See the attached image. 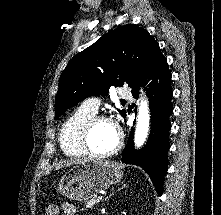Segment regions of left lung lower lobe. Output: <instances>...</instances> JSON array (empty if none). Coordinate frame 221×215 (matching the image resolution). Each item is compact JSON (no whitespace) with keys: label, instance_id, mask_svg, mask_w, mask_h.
<instances>
[{"label":"left lung lower lobe","instance_id":"obj_1","mask_svg":"<svg viewBox=\"0 0 221 215\" xmlns=\"http://www.w3.org/2000/svg\"><path fill=\"white\" fill-rule=\"evenodd\" d=\"M171 74L166 58L155 64L132 90L138 98L139 86L144 87L149 98L151 111V133L145 147L136 151L133 147V129L122 154V162L142 167L150 176L156 191L162 194L164 176L167 169V152L170 148L168 132L171 128L169 115L172 89L170 86Z\"/></svg>","mask_w":221,"mask_h":215}]
</instances>
